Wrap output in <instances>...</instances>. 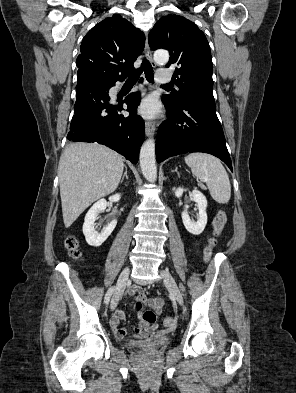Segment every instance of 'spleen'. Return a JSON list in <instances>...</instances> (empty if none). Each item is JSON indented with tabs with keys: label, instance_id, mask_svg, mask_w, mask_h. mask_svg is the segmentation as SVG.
I'll list each match as a JSON object with an SVG mask.
<instances>
[{
	"label": "spleen",
	"instance_id": "spleen-1",
	"mask_svg": "<svg viewBox=\"0 0 296 393\" xmlns=\"http://www.w3.org/2000/svg\"><path fill=\"white\" fill-rule=\"evenodd\" d=\"M193 176L206 182L212 198L226 204L231 197V185L228 174L221 162L206 153H191L185 157Z\"/></svg>",
	"mask_w": 296,
	"mask_h": 393
}]
</instances>
